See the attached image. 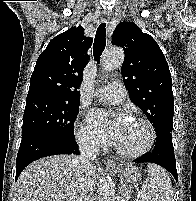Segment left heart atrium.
<instances>
[{"instance_id": "left-heart-atrium-1", "label": "left heart atrium", "mask_w": 196, "mask_h": 201, "mask_svg": "<svg viewBox=\"0 0 196 201\" xmlns=\"http://www.w3.org/2000/svg\"><path fill=\"white\" fill-rule=\"evenodd\" d=\"M88 120L96 133L106 141L115 144L121 131L128 123V117L125 114L109 113L95 109L89 113Z\"/></svg>"}]
</instances>
